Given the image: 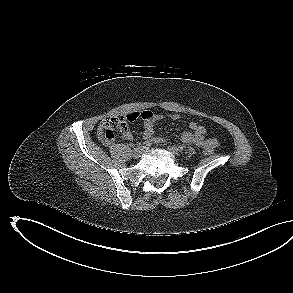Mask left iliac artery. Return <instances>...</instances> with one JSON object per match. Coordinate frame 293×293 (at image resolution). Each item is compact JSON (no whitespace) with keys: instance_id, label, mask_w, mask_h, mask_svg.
I'll return each mask as SVG.
<instances>
[{"instance_id":"1","label":"left iliac artery","mask_w":293,"mask_h":293,"mask_svg":"<svg viewBox=\"0 0 293 293\" xmlns=\"http://www.w3.org/2000/svg\"><path fill=\"white\" fill-rule=\"evenodd\" d=\"M178 148H179L180 151H183L184 146L183 145H180Z\"/></svg>"}]
</instances>
